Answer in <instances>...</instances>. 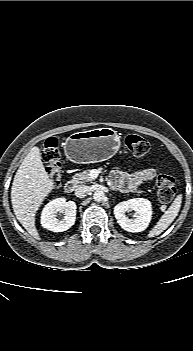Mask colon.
<instances>
[{
	"mask_svg": "<svg viewBox=\"0 0 193 351\" xmlns=\"http://www.w3.org/2000/svg\"><path fill=\"white\" fill-rule=\"evenodd\" d=\"M125 145L135 156H144L150 151V143L143 137L130 134L125 138ZM42 160L47 164V172L51 185L56 188L62 180L60 154L56 138H48L42 149ZM157 194L162 202H170L176 195L174 178L161 174L156 181Z\"/></svg>",
	"mask_w": 193,
	"mask_h": 351,
	"instance_id": "1",
	"label": "colon"
}]
</instances>
